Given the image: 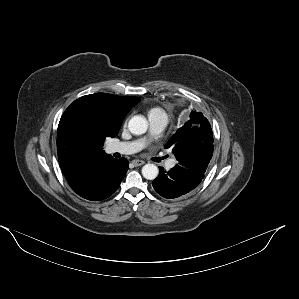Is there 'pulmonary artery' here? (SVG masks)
Listing matches in <instances>:
<instances>
[{"instance_id": "1", "label": "pulmonary artery", "mask_w": 299, "mask_h": 299, "mask_svg": "<svg viewBox=\"0 0 299 299\" xmlns=\"http://www.w3.org/2000/svg\"><path fill=\"white\" fill-rule=\"evenodd\" d=\"M168 123V116L165 112H159L149 116V134L142 138L131 142H117L109 146V152L120 154H133L145 147L151 139L160 134ZM176 164L174 159L167 161V168H172Z\"/></svg>"}]
</instances>
